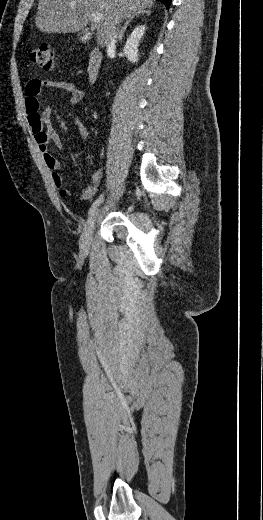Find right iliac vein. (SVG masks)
I'll use <instances>...</instances> for the list:
<instances>
[{
	"label": "right iliac vein",
	"instance_id": "right-iliac-vein-1",
	"mask_svg": "<svg viewBox=\"0 0 263 520\" xmlns=\"http://www.w3.org/2000/svg\"><path fill=\"white\" fill-rule=\"evenodd\" d=\"M98 215H99V209L94 211V213L91 215V217L87 221L84 233L82 234L81 239H80L81 255H87L90 250L92 236H93L95 225H96V222L98 219Z\"/></svg>",
	"mask_w": 263,
	"mask_h": 520
}]
</instances>
